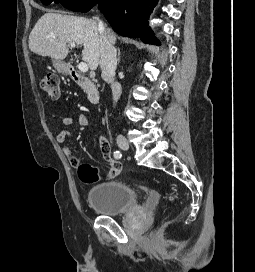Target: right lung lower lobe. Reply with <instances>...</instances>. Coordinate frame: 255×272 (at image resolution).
<instances>
[{"label":"right lung lower lobe","instance_id":"1","mask_svg":"<svg viewBox=\"0 0 255 272\" xmlns=\"http://www.w3.org/2000/svg\"><path fill=\"white\" fill-rule=\"evenodd\" d=\"M158 0H102L99 9L118 34L139 37L145 43L160 45L148 26V18Z\"/></svg>","mask_w":255,"mask_h":272}]
</instances>
